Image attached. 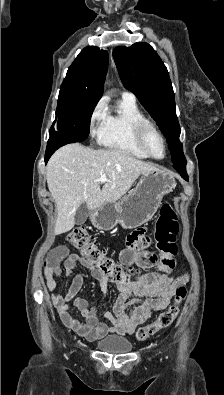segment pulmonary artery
<instances>
[{
	"mask_svg": "<svg viewBox=\"0 0 224 395\" xmlns=\"http://www.w3.org/2000/svg\"><path fill=\"white\" fill-rule=\"evenodd\" d=\"M122 97L133 100V101H135V99H136L135 95L133 93H131L130 91H123Z\"/></svg>",
	"mask_w": 224,
	"mask_h": 395,
	"instance_id": "1",
	"label": "pulmonary artery"
}]
</instances>
